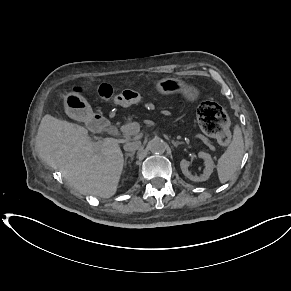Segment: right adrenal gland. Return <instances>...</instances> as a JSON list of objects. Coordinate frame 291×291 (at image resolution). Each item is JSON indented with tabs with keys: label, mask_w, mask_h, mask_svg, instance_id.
<instances>
[{
	"label": "right adrenal gland",
	"mask_w": 291,
	"mask_h": 291,
	"mask_svg": "<svg viewBox=\"0 0 291 291\" xmlns=\"http://www.w3.org/2000/svg\"><path fill=\"white\" fill-rule=\"evenodd\" d=\"M134 154H135V152H131V153H126V154H125V159H124V164H125V165L127 164V159H128V157H130L131 161L134 160Z\"/></svg>",
	"instance_id": "2a0ac1e0"
}]
</instances>
